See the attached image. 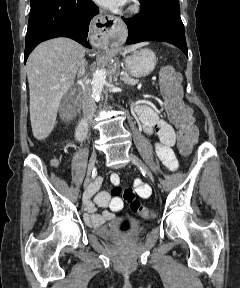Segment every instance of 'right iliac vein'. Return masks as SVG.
I'll list each match as a JSON object with an SVG mask.
<instances>
[{
  "mask_svg": "<svg viewBox=\"0 0 240 288\" xmlns=\"http://www.w3.org/2000/svg\"><path fill=\"white\" fill-rule=\"evenodd\" d=\"M96 158H97V153H96V151H93V153L90 157V160H89L88 169H87V176L85 178L84 185H83L84 189H86L91 182V174H92L94 167H95Z\"/></svg>",
  "mask_w": 240,
  "mask_h": 288,
  "instance_id": "63e3f726",
  "label": "right iliac vein"
}]
</instances>
